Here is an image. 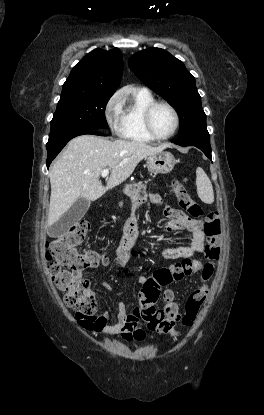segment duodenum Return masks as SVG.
Masks as SVG:
<instances>
[{
    "instance_id": "duodenum-1",
    "label": "duodenum",
    "mask_w": 264,
    "mask_h": 415,
    "mask_svg": "<svg viewBox=\"0 0 264 415\" xmlns=\"http://www.w3.org/2000/svg\"><path fill=\"white\" fill-rule=\"evenodd\" d=\"M134 224H135V225H138V221H137V220H134Z\"/></svg>"
}]
</instances>
